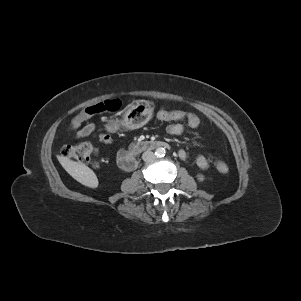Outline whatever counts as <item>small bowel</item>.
Masks as SVG:
<instances>
[{"label": "small bowel", "instance_id": "c3829d8e", "mask_svg": "<svg viewBox=\"0 0 301 301\" xmlns=\"http://www.w3.org/2000/svg\"><path fill=\"white\" fill-rule=\"evenodd\" d=\"M167 114L168 113L163 111L162 113H158V115H157L158 119L169 123L167 126V129H166L167 132L170 135H174V136L182 134L184 132V125L182 123H180V121L185 120V119L168 118ZM95 130H96V124L94 122H90V123L84 125L83 127H81L80 129H78L75 133V136H76V138H82V137H86L89 135H96V137L99 139V141L102 142L103 144H105V145L113 144V139L111 138V136L109 134L104 133V132L95 133ZM125 153L126 152L124 149H119L116 153V161L119 166H120L121 159L123 158ZM178 155L182 160H186L188 157L185 150H180L178 152ZM195 163L202 170H206L209 168V161L202 155H198L195 158Z\"/></svg>", "mask_w": 301, "mask_h": 301}]
</instances>
